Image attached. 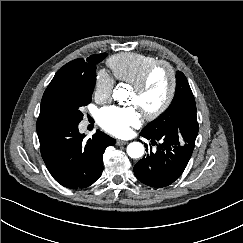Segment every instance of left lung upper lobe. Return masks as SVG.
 Returning a JSON list of instances; mask_svg holds the SVG:
<instances>
[{"mask_svg": "<svg viewBox=\"0 0 243 243\" xmlns=\"http://www.w3.org/2000/svg\"><path fill=\"white\" fill-rule=\"evenodd\" d=\"M142 131L153 136L172 131L177 132L180 137L183 132L188 131L196 139L198 122L195 99L183 73H177L175 97L170 107Z\"/></svg>", "mask_w": 243, "mask_h": 243, "instance_id": "left-lung-upper-lobe-1", "label": "left lung upper lobe"}]
</instances>
